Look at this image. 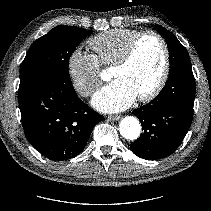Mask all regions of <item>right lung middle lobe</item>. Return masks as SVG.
<instances>
[{"instance_id":"obj_1","label":"right lung middle lobe","mask_w":211,"mask_h":211,"mask_svg":"<svg viewBox=\"0 0 211 211\" xmlns=\"http://www.w3.org/2000/svg\"><path fill=\"white\" fill-rule=\"evenodd\" d=\"M92 31L60 25L37 39L20 68V86L39 77H54L71 84L68 71L70 56Z\"/></svg>"}]
</instances>
